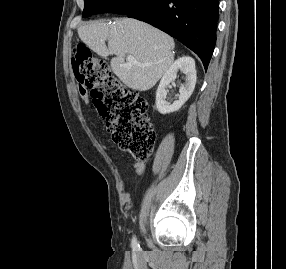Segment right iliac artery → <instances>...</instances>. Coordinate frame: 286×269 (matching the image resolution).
I'll return each mask as SVG.
<instances>
[{"mask_svg":"<svg viewBox=\"0 0 286 269\" xmlns=\"http://www.w3.org/2000/svg\"><path fill=\"white\" fill-rule=\"evenodd\" d=\"M132 248H133V250H136V251L139 250V248H140L136 237H133V239H132Z\"/></svg>","mask_w":286,"mask_h":269,"instance_id":"1","label":"right iliac artery"}]
</instances>
